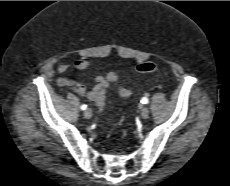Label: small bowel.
Masks as SVG:
<instances>
[{
  "label": "small bowel",
  "mask_w": 230,
  "mask_h": 186,
  "mask_svg": "<svg viewBox=\"0 0 230 186\" xmlns=\"http://www.w3.org/2000/svg\"><path fill=\"white\" fill-rule=\"evenodd\" d=\"M74 67L77 70H82V71L93 70L96 74L94 86L89 89L84 84L66 77L59 78L57 80V85L60 87H67L71 89L73 92L77 93L78 95L83 96L88 100L95 102L96 104L100 98L105 99L106 89L109 83L113 81H110L107 75L106 76L101 75L96 69H93L92 64L87 60L84 59L77 60L74 63ZM70 68L71 67L68 64H61L58 66L57 72L59 74H64L68 72ZM126 90H127L126 88L120 87L119 94L122 97H129L131 93H127Z\"/></svg>",
  "instance_id": "1"
}]
</instances>
